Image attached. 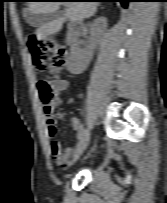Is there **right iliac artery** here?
<instances>
[{"mask_svg": "<svg viewBox=\"0 0 167 203\" xmlns=\"http://www.w3.org/2000/svg\"><path fill=\"white\" fill-rule=\"evenodd\" d=\"M84 132H85V128H84L83 125H81V127H80V131H79V133H78L77 138H78V139H81L82 136H83V134H84Z\"/></svg>", "mask_w": 167, "mask_h": 203, "instance_id": "1", "label": "right iliac artery"}]
</instances>
